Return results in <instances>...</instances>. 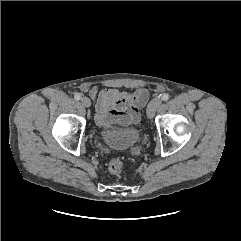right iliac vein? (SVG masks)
<instances>
[{"label":"right iliac vein","instance_id":"obj_1","mask_svg":"<svg viewBox=\"0 0 241 241\" xmlns=\"http://www.w3.org/2000/svg\"><path fill=\"white\" fill-rule=\"evenodd\" d=\"M81 103L85 107H90V105H91L90 99L88 97H86V96L81 98Z\"/></svg>","mask_w":241,"mask_h":241}]
</instances>
